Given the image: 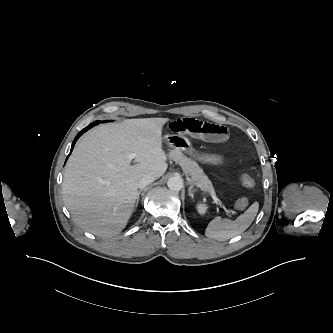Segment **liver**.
<instances>
[{
  "instance_id": "6515ba94",
  "label": "liver",
  "mask_w": 333,
  "mask_h": 333,
  "mask_svg": "<svg viewBox=\"0 0 333 333\" xmlns=\"http://www.w3.org/2000/svg\"><path fill=\"white\" fill-rule=\"evenodd\" d=\"M168 118L127 119L98 126L73 150L63 177V200L74 221L100 237L127 225L144 175L160 178L167 170L162 128ZM135 154V165L128 156Z\"/></svg>"
}]
</instances>
